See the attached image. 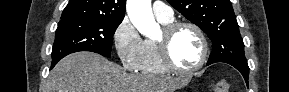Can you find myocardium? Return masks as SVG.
Masks as SVG:
<instances>
[{
  "label": "myocardium",
  "instance_id": "myocardium-1",
  "mask_svg": "<svg viewBox=\"0 0 289 92\" xmlns=\"http://www.w3.org/2000/svg\"><path fill=\"white\" fill-rule=\"evenodd\" d=\"M182 28L192 29L200 39L202 45V52L199 62L191 68H181L177 66L170 53V44L175 33ZM156 47L159 53L160 60L163 66L170 72L177 74H192L200 70L206 63L209 54V43L203 30L195 23L188 21H173L164 25L162 35L155 40Z\"/></svg>",
  "mask_w": 289,
  "mask_h": 92
}]
</instances>
